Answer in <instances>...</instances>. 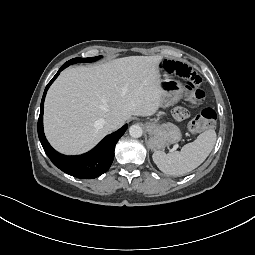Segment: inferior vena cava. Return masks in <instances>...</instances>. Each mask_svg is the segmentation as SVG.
<instances>
[{"instance_id":"602c4592","label":"inferior vena cava","mask_w":255,"mask_h":255,"mask_svg":"<svg viewBox=\"0 0 255 255\" xmlns=\"http://www.w3.org/2000/svg\"><path fill=\"white\" fill-rule=\"evenodd\" d=\"M122 126V122L116 117H110L105 121V127L108 131H115Z\"/></svg>"}]
</instances>
